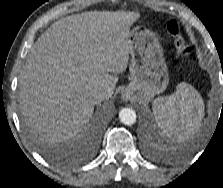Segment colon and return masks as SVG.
Here are the masks:
<instances>
[{
	"mask_svg": "<svg viewBox=\"0 0 223 188\" xmlns=\"http://www.w3.org/2000/svg\"><path fill=\"white\" fill-rule=\"evenodd\" d=\"M167 30L174 38V45L177 52L183 57L193 55L195 48L185 40L182 27L176 20H170L167 23Z\"/></svg>",
	"mask_w": 223,
	"mask_h": 188,
	"instance_id": "colon-1",
	"label": "colon"
}]
</instances>
